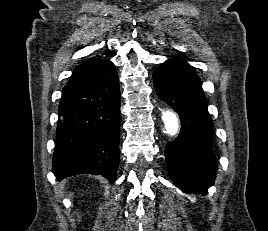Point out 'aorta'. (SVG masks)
Returning <instances> with one entry per match:
<instances>
[{"mask_svg":"<svg viewBox=\"0 0 268 231\" xmlns=\"http://www.w3.org/2000/svg\"><path fill=\"white\" fill-rule=\"evenodd\" d=\"M162 120L164 122L166 133L169 136H175L179 132V119L174 112L163 110Z\"/></svg>","mask_w":268,"mask_h":231,"instance_id":"1","label":"aorta"}]
</instances>
